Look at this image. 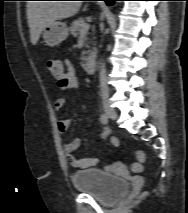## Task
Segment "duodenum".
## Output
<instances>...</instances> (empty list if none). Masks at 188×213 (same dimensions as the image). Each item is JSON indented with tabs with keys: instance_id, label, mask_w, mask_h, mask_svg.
I'll return each instance as SVG.
<instances>
[{
	"instance_id": "410a0bca",
	"label": "duodenum",
	"mask_w": 188,
	"mask_h": 213,
	"mask_svg": "<svg viewBox=\"0 0 188 213\" xmlns=\"http://www.w3.org/2000/svg\"><path fill=\"white\" fill-rule=\"evenodd\" d=\"M84 67L87 73L92 74L96 70V63L93 59H89L85 62Z\"/></svg>"
}]
</instances>
